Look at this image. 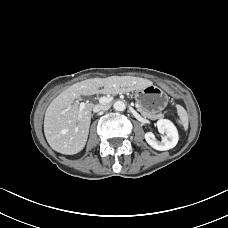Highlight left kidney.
<instances>
[{
  "mask_svg": "<svg viewBox=\"0 0 228 228\" xmlns=\"http://www.w3.org/2000/svg\"><path fill=\"white\" fill-rule=\"evenodd\" d=\"M157 128L159 133H161L162 140L157 141L154 133H145L146 142L154 149L159 151H166L174 148L179 140L178 131L175 125L167 119H160L157 121Z\"/></svg>",
  "mask_w": 228,
  "mask_h": 228,
  "instance_id": "left-kidney-1",
  "label": "left kidney"
}]
</instances>
